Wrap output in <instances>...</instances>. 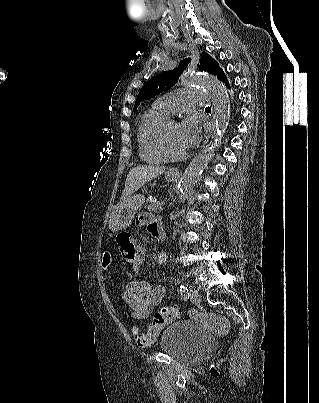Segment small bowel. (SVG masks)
Instances as JSON below:
<instances>
[{
  "label": "small bowel",
  "instance_id": "obj_1",
  "mask_svg": "<svg viewBox=\"0 0 319 403\" xmlns=\"http://www.w3.org/2000/svg\"><path fill=\"white\" fill-rule=\"evenodd\" d=\"M136 224L139 227H146L148 232L157 240H163L164 233L159 221L149 213H141L136 218ZM115 248L121 249V262L131 263L134 271L141 272V266L144 262L146 255V248L143 245L135 242V236L130 234V231L124 229L122 231L115 232ZM108 252H99V267H108ZM166 261V255L164 253L159 254L157 258L158 264H164ZM144 282H148L144 280ZM127 286V285H126ZM125 286V287H126ZM124 291V289H123ZM122 291V298L124 299V292ZM165 287L163 285L151 286V300L148 313H132L135 319H144L150 315L153 308L159 305L164 297ZM121 308H129V305H122ZM129 332V337H130Z\"/></svg>",
  "mask_w": 319,
  "mask_h": 403
}]
</instances>
